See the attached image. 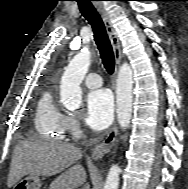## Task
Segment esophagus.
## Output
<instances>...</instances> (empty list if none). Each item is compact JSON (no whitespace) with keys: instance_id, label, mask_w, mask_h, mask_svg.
Listing matches in <instances>:
<instances>
[{"instance_id":"1","label":"esophagus","mask_w":188,"mask_h":189,"mask_svg":"<svg viewBox=\"0 0 188 189\" xmlns=\"http://www.w3.org/2000/svg\"><path fill=\"white\" fill-rule=\"evenodd\" d=\"M93 4L95 8L98 10L99 14L101 15V18L104 22L106 31L108 33L109 39L111 41V45L113 48L114 56H115V73H114V85H115V80L118 74V70L120 68L121 64V58H122V53H121V47H120V42L117 36V33L113 27V24L111 22V19L105 10V7L103 6L101 1H93ZM118 134V127L115 122L114 126L112 127L111 131L108 133V135L105 137V139L98 144L93 152H92V158L94 160H99L101 159L109 150L113 147L114 142L116 140Z\"/></svg>"}]
</instances>
